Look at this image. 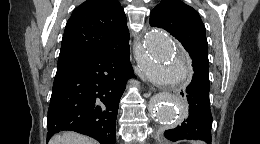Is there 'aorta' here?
<instances>
[{"label": "aorta", "mask_w": 260, "mask_h": 144, "mask_svg": "<svg viewBox=\"0 0 260 144\" xmlns=\"http://www.w3.org/2000/svg\"><path fill=\"white\" fill-rule=\"evenodd\" d=\"M139 66L154 84L177 87L189 74L188 58L163 30L152 28L142 45ZM152 115L160 123L174 125L182 118L183 101L178 92L162 93L150 100Z\"/></svg>", "instance_id": "aorta-1"}]
</instances>
